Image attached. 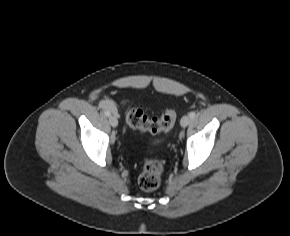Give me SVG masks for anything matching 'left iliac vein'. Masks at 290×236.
Masks as SVG:
<instances>
[{
  "label": "left iliac vein",
  "instance_id": "4c4485c4",
  "mask_svg": "<svg viewBox=\"0 0 290 236\" xmlns=\"http://www.w3.org/2000/svg\"><path fill=\"white\" fill-rule=\"evenodd\" d=\"M190 121H191L190 116L185 115V116L182 117L180 124H181L182 127H186V126H188Z\"/></svg>",
  "mask_w": 290,
  "mask_h": 236
}]
</instances>
